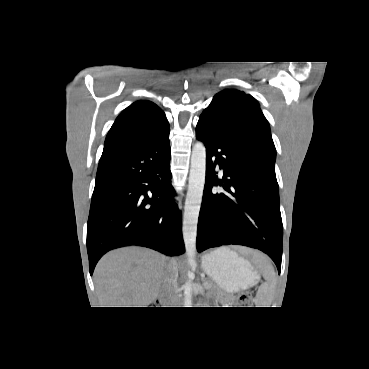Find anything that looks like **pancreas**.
I'll return each instance as SVG.
<instances>
[{"label":"pancreas","mask_w":369,"mask_h":369,"mask_svg":"<svg viewBox=\"0 0 369 369\" xmlns=\"http://www.w3.org/2000/svg\"><path fill=\"white\" fill-rule=\"evenodd\" d=\"M203 286L206 290L217 292L218 295L223 294L212 281L205 280ZM229 304H232V301H229Z\"/></svg>","instance_id":"obj_1"}]
</instances>
